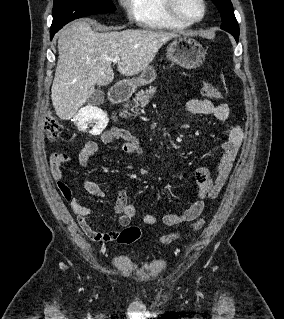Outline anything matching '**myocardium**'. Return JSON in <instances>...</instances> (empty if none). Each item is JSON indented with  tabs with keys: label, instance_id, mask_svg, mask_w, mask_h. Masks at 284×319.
Returning <instances> with one entry per match:
<instances>
[{
	"label": "myocardium",
	"instance_id": "myocardium-1",
	"mask_svg": "<svg viewBox=\"0 0 284 319\" xmlns=\"http://www.w3.org/2000/svg\"><path fill=\"white\" fill-rule=\"evenodd\" d=\"M201 3L203 6V12H202L201 17L196 19V20H188V19L184 18L179 13L178 8H177V0H165V8H166V11L170 15L171 18H173L174 20H176L182 24H185L187 26H191V25L200 23L206 17L207 10H208L207 2H206V0H201Z\"/></svg>",
	"mask_w": 284,
	"mask_h": 319
}]
</instances>
